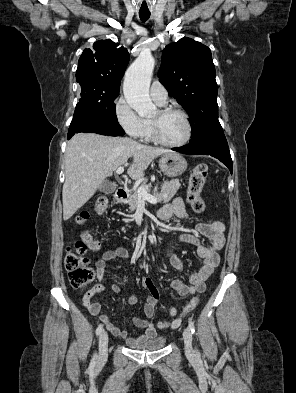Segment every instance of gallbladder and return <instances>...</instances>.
<instances>
[{"label": "gallbladder", "instance_id": "gallbladder-1", "mask_svg": "<svg viewBox=\"0 0 296 393\" xmlns=\"http://www.w3.org/2000/svg\"><path fill=\"white\" fill-rule=\"evenodd\" d=\"M116 190V185L108 180H104L99 187V191L105 194H111Z\"/></svg>", "mask_w": 296, "mask_h": 393}]
</instances>
